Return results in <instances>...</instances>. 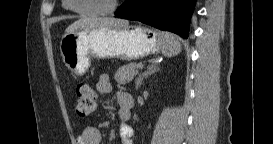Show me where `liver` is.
<instances>
[{"label":"liver","instance_id":"1","mask_svg":"<svg viewBox=\"0 0 273 144\" xmlns=\"http://www.w3.org/2000/svg\"><path fill=\"white\" fill-rule=\"evenodd\" d=\"M128 21L114 18H80L79 20L72 23L65 30V35L76 32L82 29H92L98 27H114V28H124L128 26Z\"/></svg>","mask_w":273,"mask_h":144}]
</instances>
